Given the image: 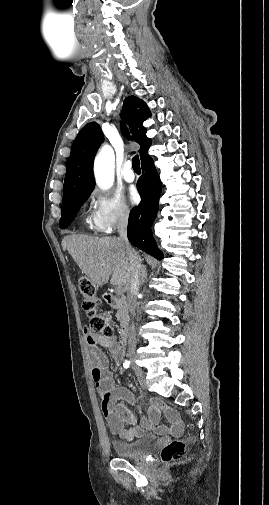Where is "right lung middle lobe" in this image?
Here are the masks:
<instances>
[{"label":"right lung middle lobe","instance_id":"1","mask_svg":"<svg viewBox=\"0 0 269 505\" xmlns=\"http://www.w3.org/2000/svg\"><path fill=\"white\" fill-rule=\"evenodd\" d=\"M91 190H87L76 194L62 203V217L60 219V228H66L70 225L76 216L81 204H83L89 197Z\"/></svg>","mask_w":269,"mask_h":505}]
</instances>
